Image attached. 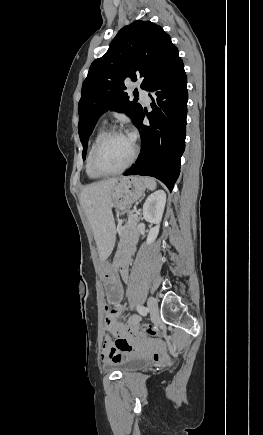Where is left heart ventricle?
<instances>
[{"mask_svg":"<svg viewBox=\"0 0 263 435\" xmlns=\"http://www.w3.org/2000/svg\"><path fill=\"white\" fill-rule=\"evenodd\" d=\"M133 142L128 136L115 135L108 138L99 148L96 161L104 170H115L122 167L130 158Z\"/></svg>","mask_w":263,"mask_h":435,"instance_id":"b2bd125f","label":"left heart ventricle"}]
</instances>
